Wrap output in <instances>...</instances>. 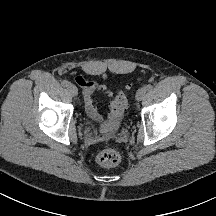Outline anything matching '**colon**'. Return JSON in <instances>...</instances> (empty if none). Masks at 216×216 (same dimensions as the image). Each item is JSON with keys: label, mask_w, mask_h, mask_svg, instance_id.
<instances>
[{"label": "colon", "mask_w": 216, "mask_h": 216, "mask_svg": "<svg viewBox=\"0 0 216 216\" xmlns=\"http://www.w3.org/2000/svg\"><path fill=\"white\" fill-rule=\"evenodd\" d=\"M111 113L120 118L123 116L127 108V97L124 91H120L115 100L111 103ZM120 153L113 148H108L100 152L96 157V162L99 166L110 168L116 166L120 162Z\"/></svg>", "instance_id": "5ec220e1"}]
</instances>
